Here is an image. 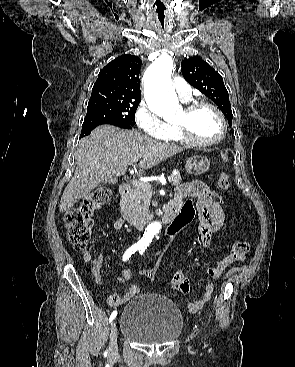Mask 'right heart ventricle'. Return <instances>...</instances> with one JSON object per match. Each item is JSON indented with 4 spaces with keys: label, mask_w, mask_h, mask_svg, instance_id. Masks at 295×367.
<instances>
[{
    "label": "right heart ventricle",
    "mask_w": 295,
    "mask_h": 367,
    "mask_svg": "<svg viewBox=\"0 0 295 367\" xmlns=\"http://www.w3.org/2000/svg\"><path fill=\"white\" fill-rule=\"evenodd\" d=\"M165 140L182 144L187 143V141L183 138L175 125H172L171 132Z\"/></svg>",
    "instance_id": "1"
}]
</instances>
